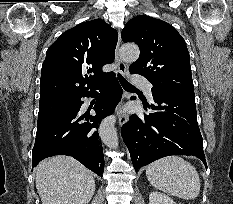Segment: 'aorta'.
<instances>
[{
    "instance_id": "obj_1",
    "label": "aorta",
    "mask_w": 233,
    "mask_h": 204,
    "mask_svg": "<svg viewBox=\"0 0 233 204\" xmlns=\"http://www.w3.org/2000/svg\"><path fill=\"white\" fill-rule=\"evenodd\" d=\"M139 48L135 44H125L120 49V56L124 61L134 62L139 57ZM115 116L105 118L99 128V134L103 143L110 149L118 147V136L115 128Z\"/></svg>"
}]
</instances>
